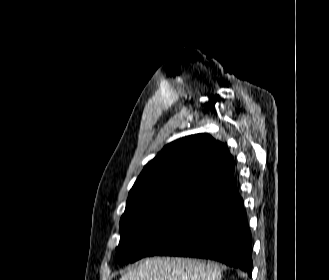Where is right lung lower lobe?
Here are the masks:
<instances>
[{
    "mask_svg": "<svg viewBox=\"0 0 329 280\" xmlns=\"http://www.w3.org/2000/svg\"><path fill=\"white\" fill-rule=\"evenodd\" d=\"M252 237L236 179L224 182L149 256L196 257L220 261L251 275Z\"/></svg>",
    "mask_w": 329,
    "mask_h": 280,
    "instance_id": "98d812e1",
    "label": "right lung lower lobe"
}]
</instances>
